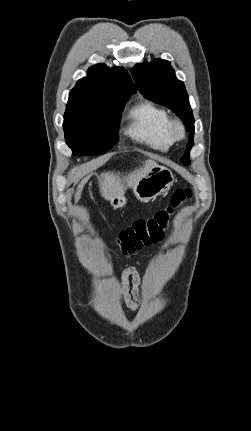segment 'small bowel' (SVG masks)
Here are the masks:
<instances>
[{
	"label": "small bowel",
	"mask_w": 251,
	"mask_h": 431,
	"mask_svg": "<svg viewBox=\"0 0 251 431\" xmlns=\"http://www.w3.org/2000/svg\"><path fill=\"white\" fill-rule=\"evenodd\" d=\"M141 274L134 266L125 267L120 274V289L124 304L130 315L142 305L140 294Z\"/></svg>",
	"instance_id": "c3829d8e"
}]
</instances>
